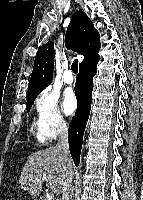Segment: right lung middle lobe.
Masks as SVG:
<instances>
[{
    "instance_id": "obj_1",
    "label": "right lung middle lobe",
    "mask_w": 143,
    "mask_h": 200,
    "mask_svg": "<svg viewBox=\"0 0 143 200\" xmlns=\"http://www.w3.org/2000/svg\"><path fill=\"white\" fill-rule=\"evenodd\" d=\"M35 98H36V97H34V98H31V99L27 100V104H26V109H27V112H29V111H30V109H31V106H32V104H33V102H34Z\"/></svg>"
}]
</instances>
